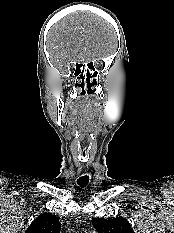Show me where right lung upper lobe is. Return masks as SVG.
Returning a JSON list of instances; mask_svg holds the SVG:
<instances>
[{
  "mask_svg": "<svg viewBox=\"0 0 174 233\" xmlns=\"http://www.w3.org/2000/svg\"><path fill=\"white\" fill-rule=\"evenodd\" d=\"M61 224L55 215L40 214L27 228L25 233H60Z\"/></svg>",
  "mask_w": 174,
  "mask_h": 233,
  "instance_id": "right-lung-upper-lobe-1",
  "label": "right lung upper lobe"
}]
</instances>
